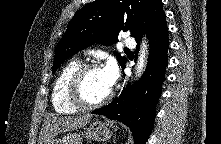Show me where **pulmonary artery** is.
I'll return each instance as SVG.
<instances>
[{
	"mask_svg": "<svg viewBox=\"0 0 221 144\" xmlns=\"http://www.w3.org/2000/svg\"><path fill=\"white\" fill-rule=\"evenodd\" d=\"M124 45L129 48H134L136 46V42H135L134 38H132L130 36H126L124 39Z\"/></svg>",
	"mask_w": 221,
	"mask_h": 144,
	"instance_id": "1",
	"label": "pulmonary artery"
}]
</instances>
